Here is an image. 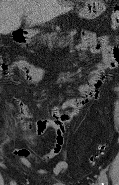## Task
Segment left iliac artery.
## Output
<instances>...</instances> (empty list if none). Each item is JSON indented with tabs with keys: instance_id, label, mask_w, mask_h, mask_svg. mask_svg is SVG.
Listing matches in <instances>:
<instances>
[{
	"instance_id": "left-iliac-artery-1",
	"label": "left iliac artery",
	"mask_w": 119,
	"mask_h": 185,
	"mask_svg": "<svg viewBox=\"0 0 119 185\" xmlns=\"http://www.w3.org/2000/svg\"><path fill=\"white\" fill-rule=\"evenodd\" d=\"M100 175L102 178V185H108V178H107L106 171L104 169L101 170Z\"/></svg>"
}]
</instances>
